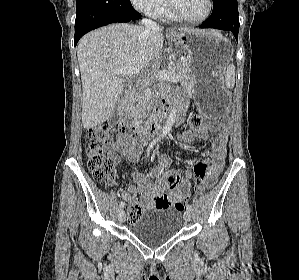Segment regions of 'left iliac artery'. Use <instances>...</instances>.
<instances>
[{
	"label": "left iliac artery",
	"mask_w": 299,
	"mask_h": 280,
	"mask_svg": "<svg viewBox=\"0 0 299 280\" xmlns=\"http://www.w3.org/2000/svg\"><path fill=\"white\" fill-rule=\"evenodd\" d=\"M186 209L191 211V210H192V206H191L190 204H188V205L186 206Z\"/></svg>",
	"instance_id": "1"
}]
</instances>
